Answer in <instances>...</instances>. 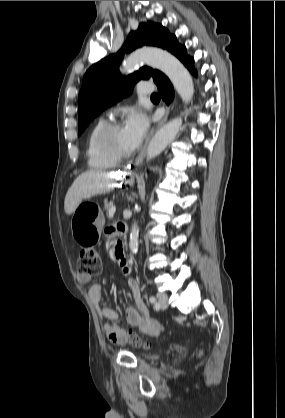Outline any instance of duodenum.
<instances>
[{"label":"duodenum","mask_w":285,"mask_h":418,"mask_svg":"<svg viewBox=\"0 0 285 418\" xmlns=\"http://www.w3.org/2000/svg\"><path fill=\"white\" fill-rule=\"evenodd\" d=\"M121 231H122V232H125V231H126V228H125L124 226H122V227H121Z\"/></svg>","instance_id":"1"}]
</instances>
